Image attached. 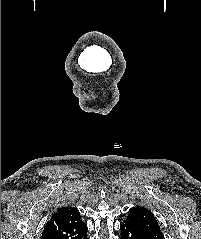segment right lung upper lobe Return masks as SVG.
I'll use <instances>...</instances> for the list:
<instances>
[{"instance_id":"cb5924a9","label":"right lung upper lobe","mask_w":201,"mask_h":239,"mask_svg":"<svg viewBox=\"0 0 201 239\" xmlns=\"http://www.w3.org/2000/svg\"><path fill=\"white\" fill-rule=\"evenodd\" d=\"M87 225L77 208L58 209L44 227L41 239H84Z\"/></svg>"}]
</instances>
